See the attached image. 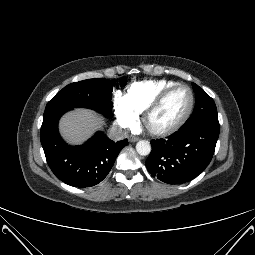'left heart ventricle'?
Masks as SVG:
<instances>
[{"instance_id": "obj_1", "label": "left heart ventricle", "mask_w": 255, "mask_h": 255, "mask_svg": "<svg viewBox=\"0 0 255 255\" xmlns=\"http://www.w3.org/2000/svg\"><path fill=\"white\" fill-rule=\"evenodd\" d=\"M190 103L187 89L179 88L173 91L152 114L149 125L155 129H164L174 125L185 114Z\"/></svg>"}]
</instances>
